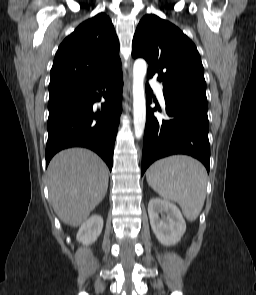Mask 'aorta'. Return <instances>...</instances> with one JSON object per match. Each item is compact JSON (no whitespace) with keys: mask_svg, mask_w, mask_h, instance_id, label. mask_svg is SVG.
Here are the masks:
<instances>
[{"mask_svg":"<svg viewBox=\"0 0 256 295\" xmlns=\"http://www.w3.org/2000/svg\"><path fill=\"white\" fill-rule=\"evenodd\" d=\"M147 71L145 60L137 59L133 67V123L136 138H141L146 122L144 78Z\"/></svg>","mask_w":256,"mask_h":295,"instance_id":"obj_1","label":"aorta"}]
</instances>
